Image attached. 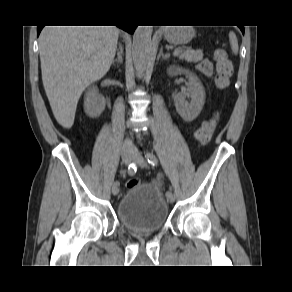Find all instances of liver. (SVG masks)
<instances>
[{
	"mask_svg": "<svg viewBox=\"0 0 292 292\" xmlns=\"http://www.w3.org/2000/svg\"><path fill=\"white\" fill-rule=\"evenodd\" d=\"M115 26H45L39 36L43 86L57 122L71 128L83 91L114 60Z\"/></svg>",
	"mask_w": 292,
	"mask_h": 292,
	"instance_id": "1",
	"label": "liver"
}]
</instances>
